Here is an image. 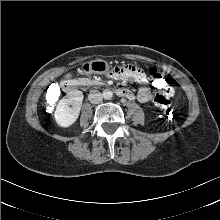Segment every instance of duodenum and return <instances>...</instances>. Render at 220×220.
I'll use <instances>...</instances> for the list:
<instances>
[{
  "instance_id": "410a0bca",
  "label": "duodenum",
  "mask_w": 220,
  "mask_h": 220,
  "mask_svg": "<svg viewBox=\"0 0 220 220\" xmlns=\"http://www.w3.org/2000/svg\"><path fill=\"white\" fill-rule=\"evenodd\" d=\"M77 82L74 80H68L64 83V89L65 91L71 92L77 88ZM116 94L120 97H129V92L126 89H117Z\"/></svg>"
}]
</instances>
